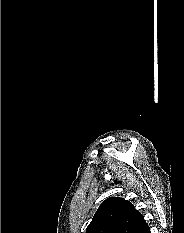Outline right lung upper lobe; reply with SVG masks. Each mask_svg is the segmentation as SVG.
Returning <instances> with one entry per match:
<instances>
[{
	"instance_id": "right-lung-upper-lobe-1",
	"label": "right lung upper lobe",
	"mask_w": 184,
	"mask_h": 233,
	"mask_svg": "<svg viewBox=\"0 0 184 233\" xmlns=\"http://www.w3.org/2000/svg\"><path fill=\"white\" fill-rule=\"evenodd\" d=\"M146 221L123 198L110 197L98 208L86 233H136Z\"/></svg>"
}]
</instances>
